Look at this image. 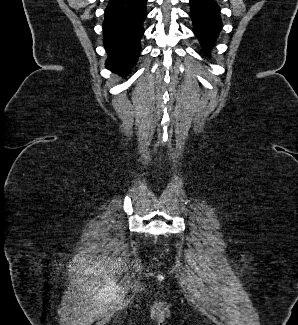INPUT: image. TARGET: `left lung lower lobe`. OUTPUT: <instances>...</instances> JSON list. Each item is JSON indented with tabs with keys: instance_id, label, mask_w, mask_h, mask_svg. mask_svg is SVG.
<instances>
[{
	"instance_id": "1",
	"label": "left lung lower lobe",
	"mask_w": 298,
	"mask_h": 325,
	"mask_svg": "<svg viewBox=\"0 0 298 325\" xmlns=\"http://www.w3.org/2000/svg\"><path fill=\"white\" fill-rule=\"evenodd\" d=\"M189 1L191 8L190 17L193 21L194 33L201 42L203 51L209 53L222 27L220 7L215 0Z\"/></svg>"
}]
</instances>
